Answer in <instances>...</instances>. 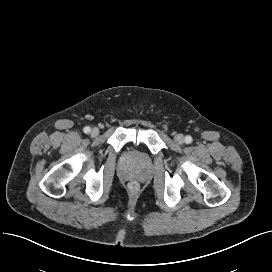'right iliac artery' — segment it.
Masks as SVG:
<instances>
[{
    "label": "right iliac artery",
    "instance_id": "right-iliac-artery-1",
    "mask_svg": "<svg viewBox=\"0 0 272 272\" xmlns=\"http://www.w3.org/2000/svg\"><path fill=\"white\" fill-rule=\"evenodd\" d=\"M84 132H85L86 134H88V133L90 132V127H88V126L85 127V128H84Z\"/></svg>",
    "mask_w": 272,
    "mask_h": 272
}]
</instances>
